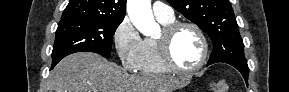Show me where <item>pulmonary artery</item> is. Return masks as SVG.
I'll return each mask as SVG.
<instances>
[{
  "instance_id": "obj_1",
  "label": "pulmonary artery",
  "mask_w": 289,
  "mask_h": 92,
  "mask_svg": "<svg viewBox=\"0 0 289 92\" xmlns=\"http://www.w3.org/2000/svg\"><path fill=\"white\" fill-rule=\"evenodd\" d=\"M152 9L155 17L159 19H170L174 16L172 8L163 2H154Z\"/></svg>"
}]
</instances>
